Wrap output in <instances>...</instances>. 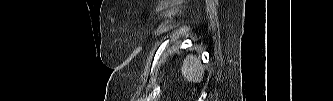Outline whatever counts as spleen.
Wrapping results in <instances>:
<instances>
[{
  "label": "spleen",
  "instance_id": "3e777b00",
  "mask_svg": "<svg viewBox=\"0 0 333 101\" xmlns=\"http://www.w3.org/2000/svg\"><path fill=\"white\" fill-rule=\"evenodd\" d=\"M182 73L189 82L200 83L204 75V66L199 57L188 55L183 61Z\"/></svg>",
  "mask_w": 333,
  "mask_h": 101
}]
</instances>
